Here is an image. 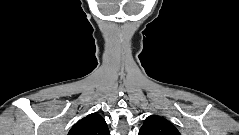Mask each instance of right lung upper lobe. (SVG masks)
<instances>
[{
	"label": "right lung upper lobe",
	"instance_id": "right-lung-upper-lobe-1",
	"mask_svg": "<svg viewBox=\"0 0 239 135\" xmlns=\"http://www.w3.org/2000/svg\"><path fill=\"white\" fill-rule=\"evenodd\" d=\"M68 135H110V132L104 118L92 113L78 121Z\"/></svg>",
	"mask_w": 239,
	"mask_h": 135
}]
</instances>
